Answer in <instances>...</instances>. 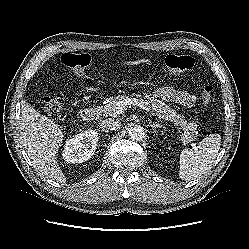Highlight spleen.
Returning <instances> with one entry per match:
<instances>
[{
    "label": "spleen",
    "instance_id": "3e777b00",
    "mask_svg": "<svg viewBox=\"0 0 249 249\" xmlns=\"http://www.w3.org/2000/svg\"><path fill=\"white\" fill-rule=\"evenodd\" d=\"M221 145L219 134L206 136L195 148H186L180 154V178L193 180L202 176L215 161Z\"/></svg>",
    "mask_w": 249,
    "mask_h": 249
}]
</instances>
